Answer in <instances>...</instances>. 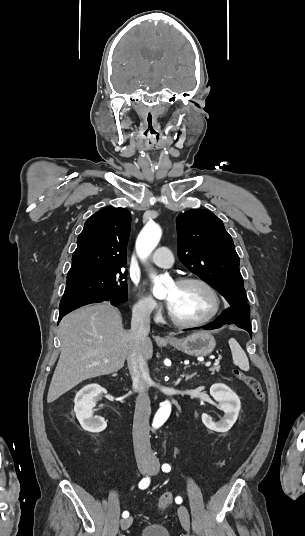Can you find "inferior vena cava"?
Listing matches in <instances>:
<instances>
[{
	"mask_svg": "<svg viewBox=\"0 0 305 536\" xmlns=\"http://www.w3.org/2000/svg\"><path fill=\"white\" fill-rule=\"evenodd\" d=\"M150 314L151 310L148 306L133 308L130 330L133 346L127 356L133 388L138 392L133 420L134 452L137 460H147V462L154 458L149 440L150 398L146 390L150 376L141 346L150 332Z\"/></svg>",
	"mask_w": 305,
	"mask_h": 536,
	"instance_id": "inferior-vena-cava-1",
	"label": "inferior vena cava"
}]
</instances>
